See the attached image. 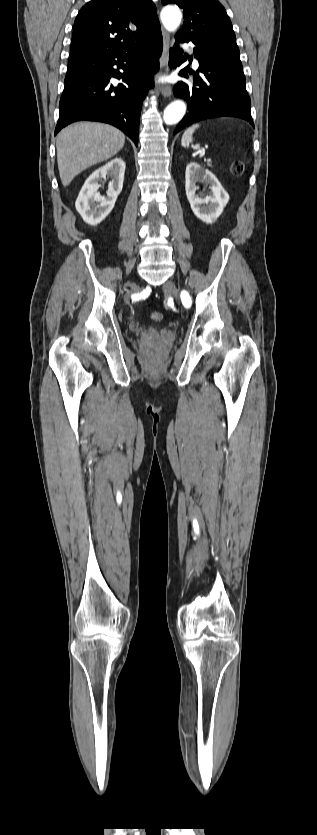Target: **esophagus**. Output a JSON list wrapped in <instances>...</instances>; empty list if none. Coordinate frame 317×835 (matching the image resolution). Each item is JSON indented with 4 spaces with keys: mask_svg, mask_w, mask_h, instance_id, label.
I'll use <instances>...</instances> for the list:
<instances>
[{
    "mask_svg": "<svg viewBox=\"0 0 317 835\" xmlns=\"http://www.w3.org/2000/svg\"><path fill=\"white\" fill-rule=\"evenodd\" d=\"M162 36H163V49H162L161 66L166 67L167 53H168L169 47H170L169 34L165 30H163L162 31ZM161 93L164 97H170L171 94H172V87L170 85H163L161 87Z\"/></svg>",
    "mask_w": 317,
    "mask_h": 835,
    "instance_id": "34e87169",
    "label": "esophagus"
}]
</instances>
